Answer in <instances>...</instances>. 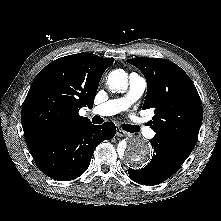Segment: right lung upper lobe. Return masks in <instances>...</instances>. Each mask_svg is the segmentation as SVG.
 I'll list each match as a JSON object with an SVG mask.
<instances>
[{
    "mask_svg": "<svg viewBox=\"0 0 221 221\" xmlns=\"http://www.w3.org/2000/svg\"><path fill=\"white\" fill-rule=\"evenodd\" d=\"M113 62V58L84 52L61 57L43 68L22 106L26 142L91 123L79 115V109L93 107L101 77Z\"/></svg>",
    "mask_w": 221,
    "mask_h": 221,
    "instance_id": "1",
    "label": "right lung upper lobe"
}]
</instances>
